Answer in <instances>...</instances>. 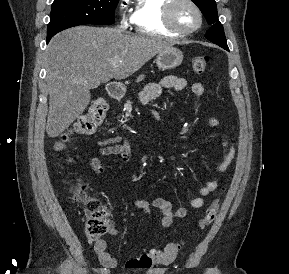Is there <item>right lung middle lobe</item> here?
<instances>
[{
  "instance_id": "1",
  "label": "right lung middle lobe",
  "mask_w": 289,
  "mask_h": 274,
  "mask_svg": "<svg viewBox=\"0 0 289 274\" xmlns=\"http://www.w3.org/2000/svg\"><path fill=\"white\" fill-rule=\"evenodd\" d=\"M118 0H54L47 42L58 32L82 24H113Z\"/></svg>"
}]
</instances>
